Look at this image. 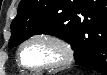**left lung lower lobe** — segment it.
<instances>
[{
    "label": "left lung lower lobe",
    "mask_w": 107,
    "mask_h": 75,
    "mask_svg": "<svg viewBox=\"0 0 107 75\" xmlns=\"http://www.w3.org/2000/svg\"><path fill=\"white\" fill-rule=\"evenodd\" d=\"M87 1L91 5H96V10L83 19L81 38L85 37V49L82 56L75 58V62L79 66L107 75V0ZM98 24L103 27V31L99 36L86 41L89 31Z\"/></svg>",
    "instance_id": "0a47b994"
}]
</instances>
